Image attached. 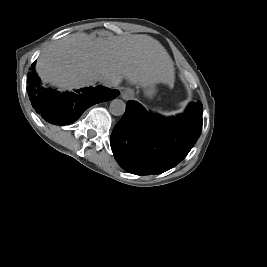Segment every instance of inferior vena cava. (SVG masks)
Instances as JSON below:
<instances>
[{"label": "inferior vena cava", "mask_w": 267, "mask_h": 267, "mask_svg": "<svg viewBox=\"0 0 267 267\" xmlns=\"http://www.w3.org/2000/svg\"><path fill=\"white\" fill-rule=\"evenodd\" d=\"M98 81L106 87H114V86H117V84H118V82L115 78L110 77L108 75L100 76Z\"/></svg>", "instance_id": "inferior-vena-cava-1"}]
</instances>
